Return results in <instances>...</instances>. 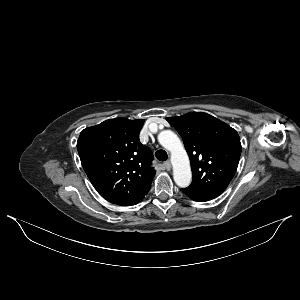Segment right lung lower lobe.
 <instances>
[{
    "instance_id": "98d812e1",
    "label": "right lung lower lobe",
    "mask_w": 300,
    "mask_h": 300,
    "mask_svg": "<svg viewBox=\"0 0 300 300\" xmlns=\"http://www.w3.org/2000/svg\"><path fill=\"white\" fill-rule=\"evenodd\" d=\"M146 194H143V195H140V196H136V197H129V198H126V199L114 202V204H117V205H120V206L135 205V204L141 202L144 199V197H145Z\"/></svg>"
}]
</instances>
